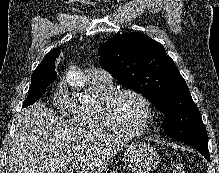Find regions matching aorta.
<instances>
[{"mask_svg": "<svg viewBox=\"0 0 219 173\" xmlns=\"http://www.w3.org/2000/svg\"><path fill=\"white\" fill-rule=\"evenodd\" d=\"M85 81H86L85 77L81 74H78L76 79L71 81V85L76 88H81L85 85Z\"/></svg>", "mask_w": 219, "mask_h": 173, "instance_id": "obj_1", "label": "aorta"}]
</instances>
